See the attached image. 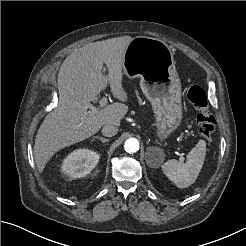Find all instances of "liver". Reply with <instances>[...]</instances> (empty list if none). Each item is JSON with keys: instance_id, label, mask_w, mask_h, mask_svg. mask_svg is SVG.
<instances>
[{"instance_id": "6515ba94", "label": "liver", "mask_w": 246, "mask_h": 246, "mask_svg": "<svg viewBox=\"0 0 246 246\" xmlns=\"http://www.w3.org/2000/svg\"><path fill=\"white\" fill-rule=\"evenodd\" d=\"M132 39L123 36L89 43L66 57L57 78L58 106L45 117L36 134L34 159L39 172L60 149L89 138L104 125L120 126L128 112L122 69ZM104 64L107 75L102 73ZM108 85L121 102L98 108L96 113L88 110L86 105L95 102Z\"/></svg>"}]
</instances>
